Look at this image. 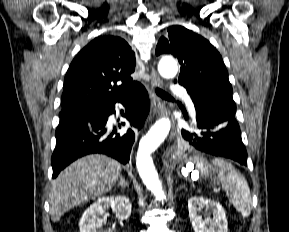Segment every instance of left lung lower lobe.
<instances>
[{
    "label": "left lung lower lobe",
    "instance_id": "0a47b994",
    "mask_svg": "<svg viewBox=\"0 0 289 232\" xmlns=\"http://www.w3.org/2000/svg\"><path fill=\"white\" fill-rule=\"evenodd\" d=\"M191 99L196 110V121L192 129L181 131L183 148L187 152L223 156L247 165L246 149L235 119L236 111L212 101Z\"/></svg>",
    "mask_w": 289,
    "mask_h": 232
}]
</instances>
